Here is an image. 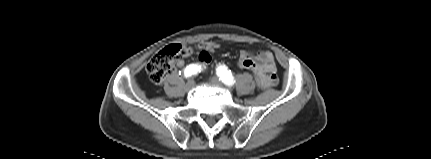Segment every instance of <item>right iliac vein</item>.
Here are the masks:
<instances>
[{
	"instance_id": "63e3f726",
	"label": "right iliac vein",
	"mask_w": 431,
	"mask_h": 159,
	"mask_svg": "<svg viewBox=\"0 0 431 159\" xmlns=\"http://www.w3.org/2000/svg\"><path fill=\"white\" fill-rule=\"evenodd\" d=\"M195 86L194 80H189L185 85V90L189 91Z\"/></svg>"
}]
</instances>
